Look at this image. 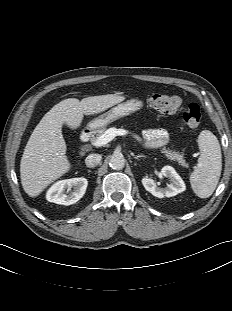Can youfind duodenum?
Segmentation results:
<instances>
[{
    "instance_id": "1",
    "label": "duodenum",
    "mask_w": 232,
    "mask_h": 311,
    "mask_svg": "<svg viewBox=\"0 0 232 311\" xmlns=\"http://www.w3.org/2000/svg\"><path fill=\"white\" fill-rule=\"evenodd\" d=\"M90 137H91V130L85 129V130H83V131L81 132L79 138H80V141H81L82 143H86V142L89 141ZM85 150H86V149H85L84 146H81V147H80V153H81V154H83V153L85 152Z\"/></svg>"
}]
</instances>
